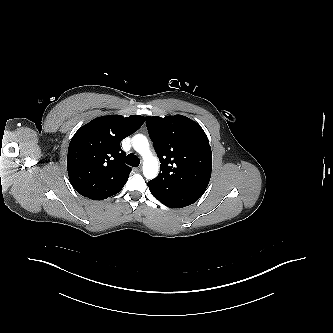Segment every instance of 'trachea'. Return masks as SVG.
<instances>
[{"label":"trachea","instance_id":"1","mask_svg":"<svg viewBox=\"0 0 333 333\" xmlns=\"http://www.w3.org/2000/svg\"><path fill=\"white\" fill-rule=\"evenodd\" d=\"M126 163L132 167H138L140 164V159L138 158V156L131 153L127 155Z\"/></svg>","mask_w":333,"mask_h":333}]
</instances>
